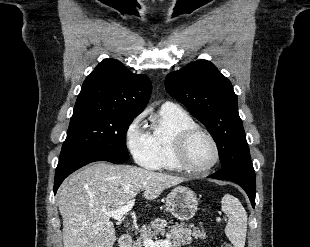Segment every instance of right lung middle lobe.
<instances>
[{
    "label": "right lung middle lobe",
    "instance_id": "dd1d6c3e",
    "mask_svg": "<svg viewBox=\"0 0 310 247\" xmlns=\"http://www.w3.org/2000/svg\"><path fill=\"white\" fill-rule=\"evenodd\" d=\"M135 117L108 111H74L60 159L100 154L128 160L126 132Z\"/></svg>",
    "mask_w": 310,
    "mask_h": 247
}]
</instances>
